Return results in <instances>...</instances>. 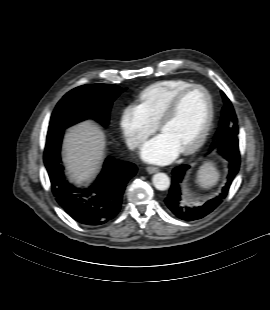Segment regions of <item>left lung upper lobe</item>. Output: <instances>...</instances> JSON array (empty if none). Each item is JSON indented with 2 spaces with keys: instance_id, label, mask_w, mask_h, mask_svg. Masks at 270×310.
Segmentation results:
<instances>
[{
  "instance_id": "obj_1",
  "label": "left lung upper lobe",
  "mask_w": 270,
  "mask_h": 310,
  "mask_svg": "<svg viewBox=\"0 0 270 310\" xmlns=\"http://www.w3.org/2000/svg\"><path fill=\"white\" fill-rule=\"evenodd\" d=\"M224 107L222 109V118L219 129L214 137L211 150L218 149L220 152L227 155L231 152H237L238 147V126L237 118L228 97L223 93Z\"/></svg>"
}]
</instances>
